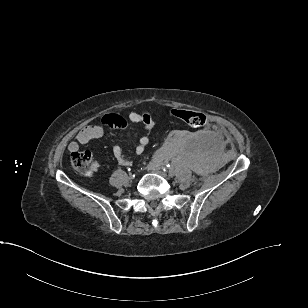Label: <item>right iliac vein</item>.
Segmentation results:
<instances>
[{
  "label": "right iliac vein",
  "mask_w": 308,
  "mask_h": 308,
  "mask_svg": "<svg viewBox=\"0 0 308 308\" xmlns=\"http://www.w3.org/2000/svg\"><path fill=\"white\" fill-rule=\"evenodd\" d=\"M129 179H132V175L131 174L129 175Z\"/></svg>",
  "instance_id": "obj_1"
}]
</instances>
